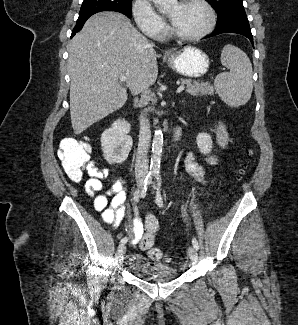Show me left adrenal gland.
Listing matches in <instances>:
<instances>
[{
    "label": "left adrenal gland",
    "mask_w": 298,
    "mask_h": 325,
    "mask_svg": "<svg viewBox=\"0 0 298 325\" xmlns=\"http://www.w3.org/2000/svg\"><path fill=\"white\" fill-rule=\"evenodd\" d=\"M180 102H185V100H180Z\"/></svg>",
    "instance_id": "1"
}]
</instances>
